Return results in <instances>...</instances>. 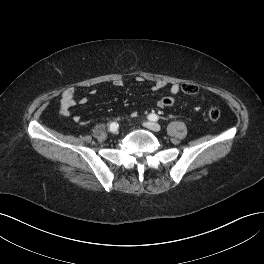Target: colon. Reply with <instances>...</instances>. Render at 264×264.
<instances>
[{
    "instance_id": "5ec220e1",
    "label": "colon",
    "mask_w": 264,
    "mask_h": 264,
    "mask_svg": "<svg viewBox=\"0 0 264 264\" xmlns=\"http://www.w3.org/2000/svg\"><path fill=\"white\" fill-rule=\"evenodd\" d=\"M182 90L184 93L191 95L197 93L198 87L193 83H185L182 85ZM159 104L162 108H171L175 105V99L165 96L159 100ZM207 117L212 121L218 120L220 118V110L217 107H210L207 111Z\"/></svg>"
}]
</instances>
